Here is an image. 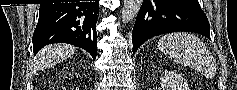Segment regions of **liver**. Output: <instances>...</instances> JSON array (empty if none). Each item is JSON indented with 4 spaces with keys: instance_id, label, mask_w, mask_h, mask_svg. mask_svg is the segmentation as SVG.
I'll list each match as a JSON object with an SVG mask.
<instances>
[{
    "instance_id": "liver-1",
    "label": "liver",
    "mask_w": 237,
    "mask_h": 90,
    "mask_svg": "<svg viewBox=\"0 0 237 90\" xmlns=\"http://www.w3.org/2000/svg\"><path fill=\"white\" fill-rule=\"evenodd\" d=\"M76 48L74 46H65V44H55V46H45L40 50L37 66L45 68V66H54L59 60H65L74 54Z\"/></svg>"
}]
</instances>
